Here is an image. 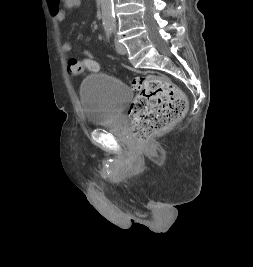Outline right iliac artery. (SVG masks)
I'll use <instances>...</instances> for the list:
<instances>
[{
  "label": "right iliac artery",
  "instance_id": "82829eb1",
  "mask_svg": "<svg viewBox=\"0 0 253 267\" xmlns=\"http://www.w3.org/2000/svg\"><path fill=\"white\" fill-rule=\"evenodd\" d=\"M111 35H112L111 29H106V36L108 41H110Z\"/></svg>",
  "mask_w": 253,
  "mask_h": 267
}]
</instances>
